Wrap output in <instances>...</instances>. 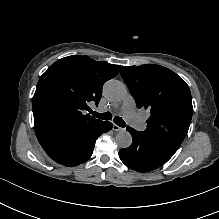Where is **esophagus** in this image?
I'll use <instances>...</instances> for the list:
<instances>
[{"label": "esophagus", "mask_w": 219, "mask_h": 219, "mask_svg": "<svg viewBox=\"0 0 219 219\" xmlns=\"http://www.w3.org/2000/svg\"><path fill=\"white\" fill-rule=\"evenodd\" d=\"M113 130L116 131V132H121L122 130H124L123 128H121L120 126L116 125V124H113Z\"/></svg>", "instance_id": "34e87169"}]
</instances>
